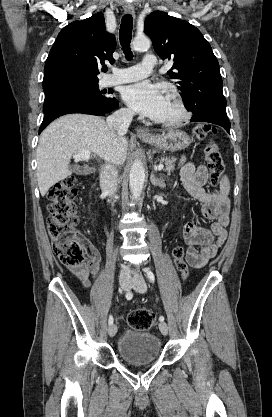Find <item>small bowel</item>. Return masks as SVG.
<instances>
[{"label": "small bowel", "instance_id": "small-bowel-1", "mask_svg": "<svg viewBox=\"0 0 272 417\" xmlns=\"http://www.w3.org/2000/svg\"><path fill=\"white\" fill-rule=\"evenodd\" d=\"M180 176L189 195L201 203L202 218L213 221L209 229L201 227L198 220L188 222L183 229L184 240L189 246L185 255L186 262L191 267L200 269L217 254L227 239L230 183L227 177H223L216 190L208 191L206 187L209 175L206 166H196L185 159L181 160ZM84 244L87 252L86 263L69 266V269L85 288L90 289L91 281L99 272L101 258L92 244L88 241Z\"/></svg>", "mask_w": 272, "mask_h": 417}]
</instances>
